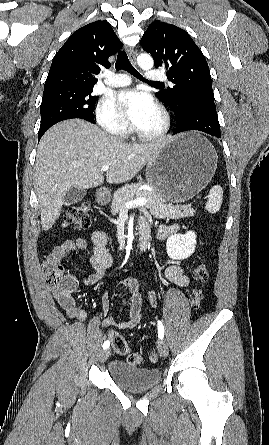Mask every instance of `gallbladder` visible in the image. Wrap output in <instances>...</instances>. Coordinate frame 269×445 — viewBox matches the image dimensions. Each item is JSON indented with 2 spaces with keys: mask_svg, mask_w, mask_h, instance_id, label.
I'll use <instances>...</instances> for the list:
<instances>
[{
  "mask_svg": "<svg viewBox=\"0 0 269 445\" xmlns=\"http://www.w3.org/2000/svg\"><path fill=\"white\" fill-rule=\"evenodd\" d=\"M85 195H86L85 189L72 187L67 191L63 199V204L65 206L75 204L81 201L85 197Z\"/></svg>",
  "mask_w": 269,
  "mask_h": 445,
  "instance_id": "1",
  "label": "gallbladder"
}]
</instances>
